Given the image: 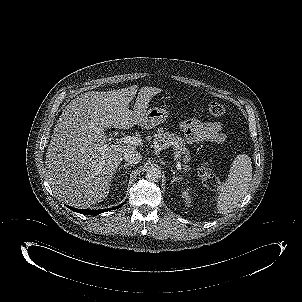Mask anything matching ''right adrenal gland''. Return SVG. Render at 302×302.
Returning <instances> with one entry per match:
<instances>
[{
    "instance_id": "right-adrenal-gland-1",
    "label": "right adrenal gland",
    "mask_w": 302,
    "mask_h": 302,
    "mask_svg": "<svg viewBox=\"0 0 302 302\" xmlns=\"http://www.w3.org/2000/svg\"><path fill=\"white\" fill-rule=\"evenodd\" d=\"M131 164H129V163H125L124 165H121L120 167H119V170L120 169H125V171L127 172V169H128V167L130 166Z\"/></svg>"
}]
</instances>
